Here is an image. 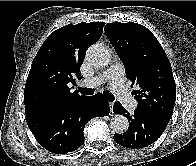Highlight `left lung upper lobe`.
Here are the masks:
<instances>
[{
	"instance_id": "1",
	"label": "left lung upper lobe",
	"mask_w": 196,
	"mask_h": 166,
	"mask_svg": "<svg viewBox=\"0 0 196 166\" xmlns=\"http://www.w3.org/2000/svg\"><path fill=\"white\" fill-rule=\"evenodd\" d=\"M104 30L126 68L138 101L137 109L171 118L176 85L170 62L161 44L143 25L107 23Z\"/></svg>"
}]
</instances>
